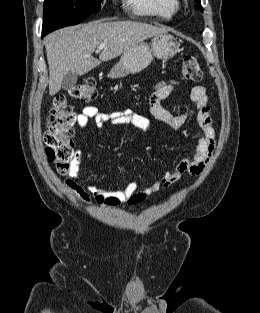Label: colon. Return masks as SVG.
<instances>
[{"label": "colon", "mask_w": 260, "mask_h": 313, "mask_svg": "<svg viewBox=\"0 0 260 313\" xmlns=\"http://www.w3.org/2000/svg\"><path fill=\"white\" fill-rule=\"evenodd\" d=\"M182 77L198 82L203 79V71L195 57L186 56L182 60ZM69 94L81 102L97 98L96 81L87 78L73 86ZM76 114L67 99L66 93H59L53 100L48 116V129L44 133L46 156L55 164L59 173H66L75 157V146L72 140Z\"/></svg>", "instance_id": "obj_1"}]
</instances>
